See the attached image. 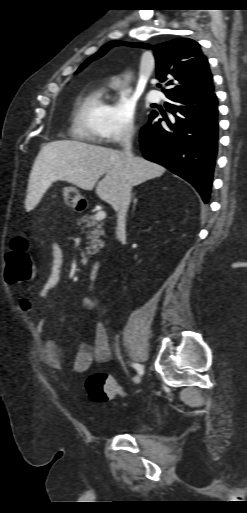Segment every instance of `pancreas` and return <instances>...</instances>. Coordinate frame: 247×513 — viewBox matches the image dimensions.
<instances>
[{
    "label": "pancreas",
    "instance_id": "pancreas-1",
    "mask_svg": "<svg viewBox=\"0 0 247 513\" xmlns=\"http://www.w3.org/2000/svg\"><path fill=\"white\" fill-rule=\"evenodd\" d=\"M78 225L84 229L88 228L87 239H90V245L87 247V254L93 255L103 247V241L100 239L104 235L103 224L99 223L94 215L85 214L78 220Z\"/></svg>",
    "mask_w": 247,
    "mask_h": 513
}]
</instances>
